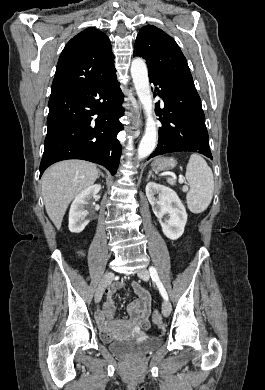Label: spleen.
<instances>
[{
    "label": "spleen",
    "mask_w": 265,
    "mask_h": 390,
    "mask_svg": "<svg viewBox=\"0 0 265 390\" xmlns=\"http://www.w3.org/2000/svg\"><path fill=\"white\" fill-rule=\"evenodd\" d=\"M186 179L190 186L187 193V206L192 213L199 214L205 211L214 193V177L211 168L198 154H192L186 167ZM167 182L175 184L172 178Z\"/></svg>",
    "instance_id": "spleen-1"
}]
</instances>
